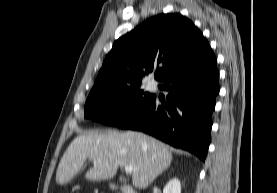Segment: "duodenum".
<instances>
[{"mask_svg":"<svg viewBox=\"0 0 277 193\" xmlns=\"http://www.w3.org/2000/svg\"><path fill=\"white\" fill-rule=\"evenodd\" d=\"M120 193H137L135 189L129 185H122L119 187Z\"/></svg>","mask_w":277,"mask_h":193,"instance_id":"duodenum-1","label":"duodenum"}]
</instances>
